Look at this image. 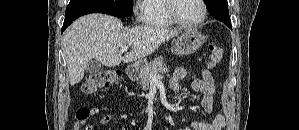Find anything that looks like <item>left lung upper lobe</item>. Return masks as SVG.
Instances as JSON below:
<instances>
[{"label":"left lung upper lobe","mask_w":299,"mask_h":130,"mask_svg":"<svg viewBox=\"0 0 299 130\" xmlns=\"http://www.w3.org/2000/svg\"><path fill=\"white\" fill-rule=\"evenodd\" d=\"M210 14L221 20V19H230L228 12L227 0H204Z\"/></svg>","instance_id":"1"}]
</instances>
